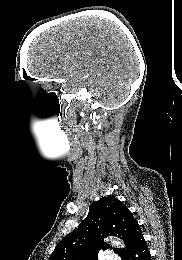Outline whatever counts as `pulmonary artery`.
I'll list each match as a JSON object with an SVG mask.
<instances>
[{"mask_svg": "<svg viewBox=\"0 0 182 260\" xmlns=\"http://www.w3.org/2000/svg\"><path fill=\"white\" fill-rule=\"evenodd\" d=\"M106 260H121V258L116 254L109 253L106 255Z\"/></svg>", "mask_w": 182, "mask_h": 260, "instance_id": "obj_1", "label": "pulmonary artery"}]
</instances>
